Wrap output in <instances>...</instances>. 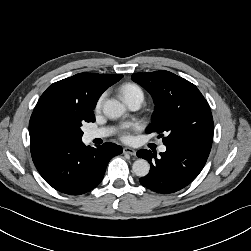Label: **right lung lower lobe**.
<instances>
[{"label": "right lung lower lobe", "mask_w": 251, "mask_h": 251, "mask_svg": "<svg viewBox=\"0 0 251 251\" xmlns=\"http://www.w3.org/2000/svg\"><path fill=\"white\" fill-rule=\"evenodd\" d=\"M30 149L43 179L54 189L70 195L95 188L102 181L111 158L122 153V147L114 143L90 148L81 139L34 142Z\"/></svg>", "instance_id": "98d812e1"}]
</instances>
